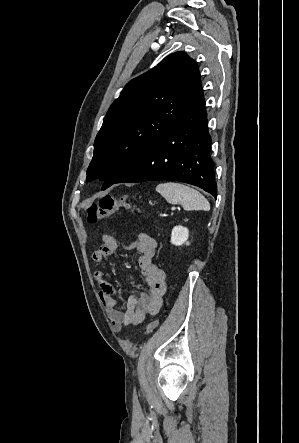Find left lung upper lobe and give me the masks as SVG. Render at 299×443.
<instances>
[{
    "mask_svg": "<svg viewBox=\"0 0 299 443\" xmlns=\"http://www.w3.org/2000/svg\"><path fill=\"white\" fill-rule=\"evenodd\" d=\"M202 97L199 69L184 52L131 80L96 136L87 180H105L102 190L113 185Z\"/></svg>",
    "mask_w": 299,
    "mask_h": 443,
    "instance_id": "5c2ea615",
    "label": "left lung upper lobe"
}]
</instances>
